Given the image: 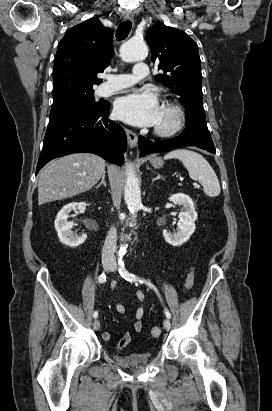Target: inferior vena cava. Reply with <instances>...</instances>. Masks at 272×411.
<instances>
[{
    "label": "inferior vena cava",
    "instance_id": "602c4592",
    "mask_svg": "<svg viewBox=\"0 0 272 411\" xmlns=\"http://www.w3.org/2000/svg\"><path fill=\"white\" fill-rule=\"evenodd\" d=\"M116 252V229L112 227L105 239L104 246L102 249V261L109 262L113 261Z\"/></svg>",
    "mask_w": 272,
    "mask_h": 411
}]
</instances>
